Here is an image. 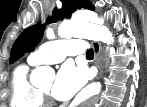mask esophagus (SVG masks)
<instances>
[{
    "instance_id": "esophagus-1",
    "label": "esophagus",
    "mask_w": 147,
    "mask_h": 107,
    "mask_svg": "<svg viewBox=\"0 0 147 107\" xmlns=\"http://www.w3.org/2000/svg\"><path fill=\"white\" fill-rule=\"evenodd\" d=\"M93 51H94V55H95V64L98 68V74H97V78H99L103 72V68H104V60H103V55H102V47L101 44L97 41H92L91 42Z\"/></svg>"
}]
</instances>
